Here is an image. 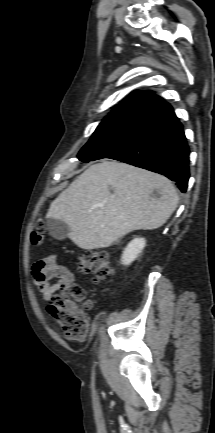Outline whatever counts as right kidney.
<instances>
[{
    "label": "right kidney",
    "instance_id": "right-kidney-1",
    "mask_svg": "<svg viewBox=\"0 0 215 433\" xmlns=\"http://www.w3.org/2000/svg\"><path fill=\"white\" fill-rule=\"evenodd\" d=\"M146 245V240L144 238L133 239L127 247L124 249L121 262L124 265H129L133 262L138 255L142 252Z\"/></svg>",
    "mask_w": 215,
    "mask_h": 433
}]
</instances>
